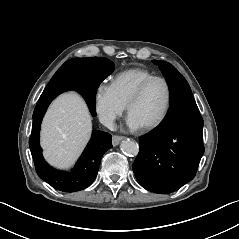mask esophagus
Here are the masks:
<instances>
[{
  "instance_id": "obj_1",
  "label": "esophagus",
  "mask_w": 239,
  "mask_h": 239,
  "mask_svg": "<svg viewBox=\"0 0 239 239\" xmlns=\"http://www.w3.org/2000/svg\"><path fill=\"white\" fill-rule=\"evenodd\" d=\"M125 139L124 136L114 135L112 137V144L113 146H117L121 140Z\"/></svg>"
}]
</instances>
